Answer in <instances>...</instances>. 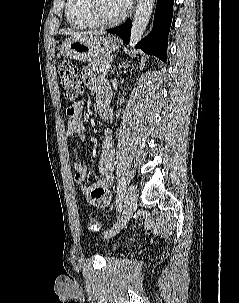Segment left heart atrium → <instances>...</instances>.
Instances as JSON below:
<instances>
[{
    "label": "left heart atrium",
    "instance_id": "1",
    "mask_svg": "<svg viewBox=\"0 0 239 303\" xmlns=\"http://www.w3.org/2000/svg\"><path fill=\"white\" fill-rule=\"evenodd\" d=\"M122 4V6L125 8V10H127L132 3V0H119Z\"/></svg>",
    "mask_w": 239,
    "mask_h": 303
}]
</instances>
